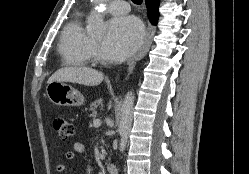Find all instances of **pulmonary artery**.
I'll return each instance as SVG.
<instances>
[{
    "mask_svg": "<svg viewBox=\"0 0 249 174\" xmlns=\"http://www.w3.org/2000/svg\"><path fill=\"white\" fill-rule=\"evenodd\" d=\"M105 9L112 14L121 15L130 10L129 4L123 0H109L105 4Z\"/></svg>",
    "mask_w": 249,
    "mask_h": 174,
    "instance_id": "pulmonary-artery-1",
    "label": "pulmonary artery"
}]
</instances>
